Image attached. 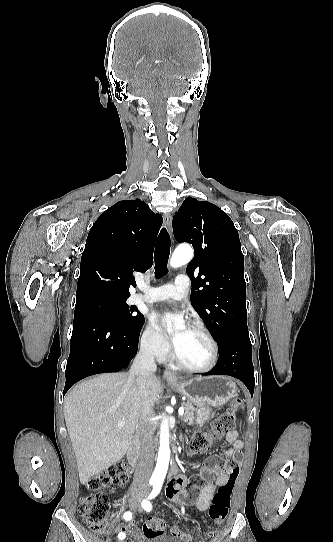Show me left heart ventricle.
<instances>
[{"label": "left heart ventricle", "mask_w": 333, "mask_h": 542, "mask_svg": "<svg viewBox=\"0 0 333 542\" xmlns=\"http://www.w3.org/2000/svg\"><path fill=\"white\" fill-rule=\"evenodd\" d=\"M175 340L172 349L176 356L185 364L201 368L209 364L212 358V348L209 341L198 332L181 328L173 334Z\"/></svg>", "instance_id": "1"}]
</instances>
